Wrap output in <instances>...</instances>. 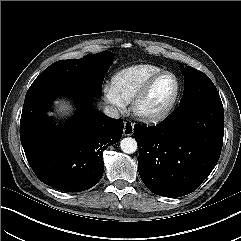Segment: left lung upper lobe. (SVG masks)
I'll use <instances>...</instances> for the list:
<instances>
[{
    "instance_id": "obj_1",
    "label": "left lung upper lobe",
    "mask_w": 241,
    "mask_h": 241,
    "mask_svg": "<svg viewBox=\"0 0 241 241\" xmlns=\"http://www.w3.org/2000/svg\"><path fill=\"white\" fill-rule=\"evenodd\" d=\"M181 70L185 79V88L180 105L197 100L221 102L215 85L207 75L191 66L181 67Z\"/></svg>"
}]
</instances>
